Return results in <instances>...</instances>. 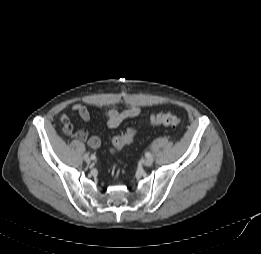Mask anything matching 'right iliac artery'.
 <instances>
[{"mask_svg": "<svg viewBox=\"0 0 261 254\" xmlns=\"http://www.w3.org/2000/svg\"><path fill=\"white\" fill-rule=\"evenodd\" d=\"M91 159H93V160H94V159H95V155H91Z\"/></svg>", "mask_w": 261, "mask_h": 254, "instance_id": "82829eb1", "label": "right iliac artery"}]
</instances>
